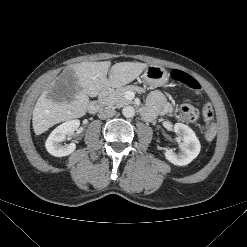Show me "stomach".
<instances>
[{
    "label": "stomach",
    "mask_w": 247,
    "mask_h": 247,
    "mask_svg": "<svg viewBox=\"0 0 247 247\" xmlns=\"http://www.w3.org/2000/svg\"><path fill=\"white\" fill-rule=\"evenodd\" d=\"M141 77L150 86L160 87L167 83L168 72L161 66L150 65L145 69Z\"/></svg>",
    "instance_id": "stomach-1"
}]
</instances>
